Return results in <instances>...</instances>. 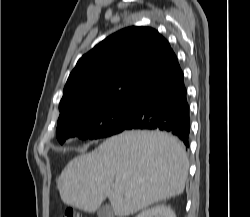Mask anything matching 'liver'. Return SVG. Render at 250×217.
Returning <instances> with one entry per match:
<instances>
[{
    "mask_svg": "<svg viewBox=\"0 0 250 217\" xmlns=\"http://www.w3.org/2000/svg\"><path fill=\"white\" fill-rule=\"evenodd\" d=\"M184 145L159 131H125L72 159L57 180L63 203L94 213L108 197L116 216L132 215L185 188Z\"/></svg>",
    "mask_w": 250,
    "mask_h": 217,
    "instance_id": "obj_1",
    "label": "liver"
}]
</instances>
